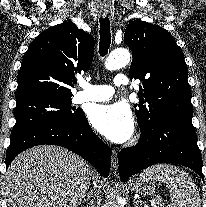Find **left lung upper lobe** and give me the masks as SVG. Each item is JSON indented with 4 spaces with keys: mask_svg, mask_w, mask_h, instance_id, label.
<instances>
[{
    "mask_svg": "<svg viewBox=\"0 0 206 207\" xmlns=\"http://www.w3.org/2000/svg\"><path fill=\"white\" fill-rule=\"evenodd\" d=\"M124 42L132 51L130 79L142 81L141 102L135 113L141 130H148L162 116L193 115L184 55L172 35L160 26L131 21Z\"/></svg>",
    "mask_w": 206,
    "mask_h": 207,
    "instance_id": "5c2ea615",
    "label": "left lung upper lobe"
}]
</instances>
